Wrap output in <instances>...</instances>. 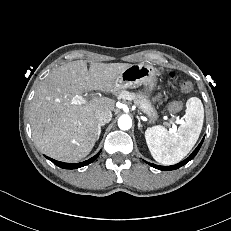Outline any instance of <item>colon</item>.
<instances>
[{
  "mask_svg": "<svg viewBox=\"0 0 231 231\" xmlns=\"http://www.w3.org/2000/svg\"><path fill=\"white\" fill-rule=\"evenodd\" d=\"M169 79L170 80H174L176 75L174 72H170L169 75H168ZM179 89L182 91V92H189L191 89H192V84L188 81H183L180 83L179 85ZM183 107V104L181 101H173L170 103L169 105V109L170 111L172 112H178L182 109Z\"/></svg>",
  "mask_w": 231,
  "mask_h": 231,
  "instance_id": "colon-1",
  "label": "colon"
}]
</instances>
